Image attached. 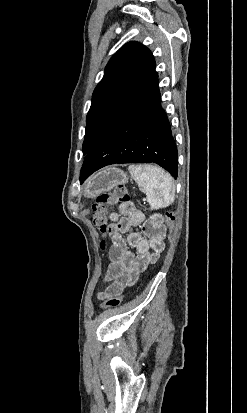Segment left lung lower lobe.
<instances>
[{
  "instance_id": "obj_1",
  "label": "left lung lower lobe",
  "mask_w": 247,
  "mask_h": 413,
  "mask_svg": "<svg viewBox=\"0 0 247 413\" xmlns=\"http://www.w3.org/2000/svg\"><path fill=\"white\" fill-rule=\"evenodd\" d=\"M177 148L161 107L158 77L87 153L80 182L116 163H156L177 179Z\"/></svg>"
}]
</instances>
